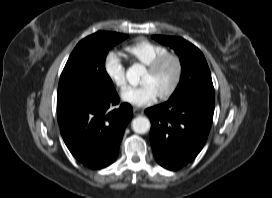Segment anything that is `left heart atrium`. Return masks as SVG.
<instances>
[{
  "label": "left heart atrium",
  "instance_id": "39dd6f15",
  "mask_svg": "<svg viewBox=\"0 0 272 198\" xmlns=\"http://www.w3.org/2000/svg\"><path fill=\"white\" fill-rule=\"evenodd\" d=\"M158 96L157 91L150 83L127 87L121 93L124 102L138 107L153 104Z\"/></svg>",
  "mask_w": 272,
  "mask_h": 198
}]
</instances>
